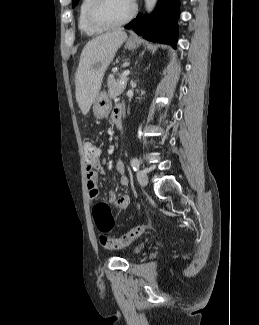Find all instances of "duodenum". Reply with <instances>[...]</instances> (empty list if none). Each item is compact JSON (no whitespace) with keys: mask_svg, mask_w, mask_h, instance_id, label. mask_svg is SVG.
Returning a JSON list of instances; mask_svg holds the SVG:
<instances>
[{"mask_svg":"<svg viewBox=\"0 0 259 325\" xmlns=\"http://www.w3.org/2000/svg\"><path fill=\"white\" fill-rule=\"evenodd\" d=\"M114 123H115L117 129H118L119 131H122V129H123L122 117H121V116H117V117L115 118Z\"/></svg>","mask_w":259,"mask_h":325,"instance_id":"1","label":"duodenum"}]
</instances>
